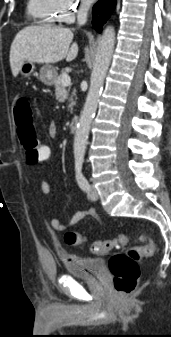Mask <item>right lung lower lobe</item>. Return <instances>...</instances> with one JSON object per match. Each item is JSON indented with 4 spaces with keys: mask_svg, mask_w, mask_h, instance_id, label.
<instances>
[{
    "mask_svg": "<svg viewBox=\"0 0 171 337\" xmlns=\"http://www.w3.org/2000/svg\"><path fill=\"white\" fill-rule=\"evenodd\" d=\"M116 4V0H99L93 7V26L97 32L109 18Z\"/></svg>",
    "mask_w": 171,
    "mask_h": 337,
    "instance_id": "98d812e1",
    "label": "right lung lower lobe"
}]
</instances>
